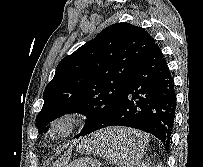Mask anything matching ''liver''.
Segmentation results:
<instances>
[{
    "instance_id": "obj_1",
    "label": "liver",
    "mask_w": 203,
    "mask_h": 167,
    "mask_svg": "<svg viewBox=\"0 0 203 167\" xmlns=\"http://www.w3.org/2000/svg\"><path fill=\"white\" fill-rule=\"evenodd\" d=\"M111 137L113 139H117L120 141H124L125 145L129 149H135L138 147L139 144H141L143 138H146L147 135L133 129H126V128H115L111 132H109V135L102 136V138H108ZM68 160H60L54 162L52 167H67Z\"/></svg>"
}]
</instances>
